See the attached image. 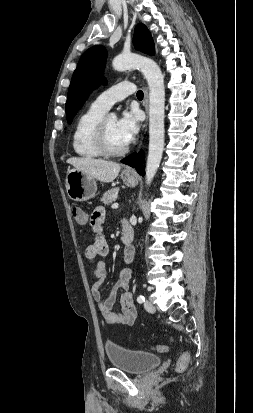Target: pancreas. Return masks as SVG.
Masks as SVG:
<instances>
[{"instance_id":"1","label":"pancreas","mask_w":253,"mask_h":413,"mask_svg":"<svg viewBox=\"0 0 253 413\" xmlns=\"http://www.w3.org/2000/svg\"><path fill=\"white\" fill-rule=\"evenodd\" d=\"M118 191H119V188H112V189L108 190L102 196L101 201L105 205L109 204V203H112L117 198Z\"/></svg>"}]
</instances>
